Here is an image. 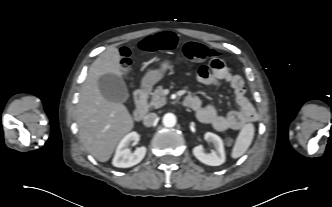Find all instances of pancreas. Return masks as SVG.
<instances>
[{"label": "pancreas", "mask_w": 332, "mask_h": 207, "mask_svg": "<svg viewBox=\"0 0 332 207\" xmlns=\"http://www.w3.org/2000/svg\"><path fill=\"white\" fill-rule=\"evenodd\" d=\"M151 95L152 98L148 103L149 107L160 108L166 104V97L162 86H158Z\"/></svg>", "instance_id": "obj_1"}]
</instances>
